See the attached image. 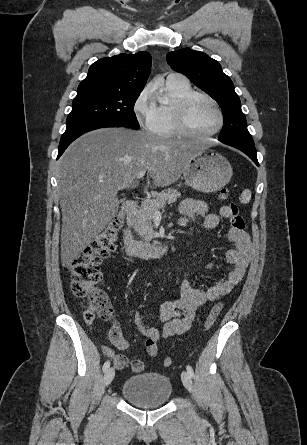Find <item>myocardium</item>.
I'll use <instances>...</instances> for the list:
<instances>
[{"instance_id": "obj_1", "label": "myocardium", "mask_w": 307, "mask_h": 445, "mask_svg": "<svg viewBox=\"0 0 307 445\" xmlns=\"http://www.w3.org/2000/svg\"><path fill=\"white\" fill-rule=\"evenodd\" d=\"M198 99L210 102L219 111L220 124L216 129L203 133L195 130L190 124L188 118V110L190 105ZM169 110L171 117L174 121V124L179 131V134L187 136L183 137L182 139H204L212 137L217 133H219L225 127L227 122V117L223 106L217 100L212 98L210 95L202 92L192 91L191 93L181 98L180 100L172 102L170 104Z\"/></svg>"}]
</instances>
